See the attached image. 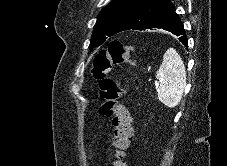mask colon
<instances>
[{
  "label": "colon",
  "instance_id": "obj_1",
  "mask_svg": "<svg viewBox=\"0 0 227 166\" xmlns=\"http://www.w3.org/2000/svg\"><path fill=\"white\" fill-rule=\"evenodd\" d=\"M123 63L137 66L139 59L118 40L111 41L93 60L92 74L101 87L102 104L99 112L105 117L112 118L114 128L111 137L112 160L107 166H126L124 158L133 135L131 115L126 106L120 102V97L125 91L124 86L115 77L108 75L114 65Z\"/></svg>",
  "mask_w": 227,
  "mask_h": 166
}]
</instances>
